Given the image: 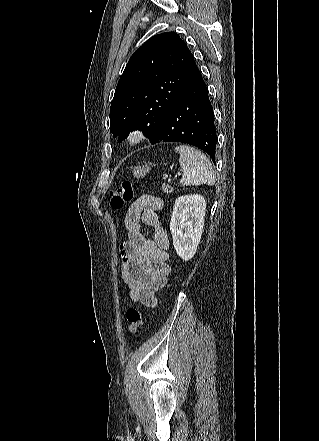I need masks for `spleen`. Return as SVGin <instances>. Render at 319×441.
I'll return each mask as SVG.
<instances>
[{
    "label": "spleen",
    "instance_id": "spleen-1",
    "mask_svg": "<svg viewBox=\"0 0 319 441\" xmlns=\"http://www.w3.org/2000/svg\"><path fill=\"white\" fill-rule=\"evenodd\" d=\"M175 152L180 156L179 163L183 170L180 180L182 185L215 184L213 167L204 153L188 145H178Z\"/></svg>",
    "mask_w": 319,
    "mask_h": 441
}]
</instances>
